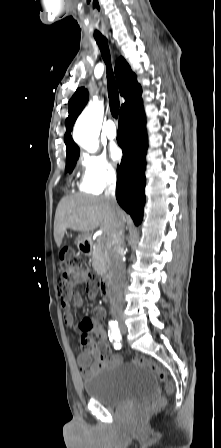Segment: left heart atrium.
I'll return each instance as SVG.
<instances>
[{
  "mask_svg": "<svg viewBox=\"0 0 221 448\" xmlns=\"http://www.w3.org/2000/svg\"><path fill=\"white\" fill-rule=\"evenodd\" d=\"M110 152H111V156L114 160L120 159V157L122 155L121 149L117 146L112 147Z\"/></svg>",
  "mask_w": 221,
  "mask_h": 448,
  "instance_id": "obj_1",
  "label": "left heart atrium"
}]
</instances>
